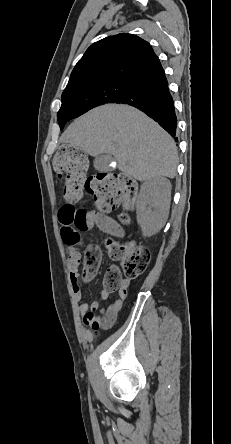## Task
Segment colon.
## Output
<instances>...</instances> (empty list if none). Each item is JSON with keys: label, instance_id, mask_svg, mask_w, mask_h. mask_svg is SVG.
<instances>
[{"label": "colon", "instance_id": "1", "mask_svg": "<svg viewBox=\"0 0 231 444\" xmlns=\"http://www.w3.org/2000/svg\"><path fill=\"white\" fill-rule=\"evenodd\" d=\"M53 167L58 176H63L65 180L64 197L67 204L63 208L61 221L77 232L96 227L103 213L112 212L119 206L130 207L136 199L137 183L127 175L103 173L87 178L86 155L76 148L61 146L54 156ZM84 191L94 197L98 212L75 206L81 201ZM122 220L127 221L125 217ZM107 248L115 261L104 276L103 285L108 293L120 289L125 279L142 275L150 263L151 254L143 246L118 244L109 240ZM101 257L99 246L90 245L86 248L83 258L85 279L96 272Z\"/></svg>", "mask_w": 231, "mask_h": 444}]
</instances>
